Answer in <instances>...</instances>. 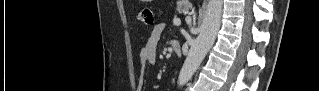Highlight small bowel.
<instances>
[{
  "label": "small bowel",
  "instance_id": "obj_1",
  "mask_svg": "<svg viewBox=\"0 0 319 91\" xmlns=\"http://www.w3.org/2000/svg\"><path fill=\"white\" fill-rule=\"evenodd\" d=\"M165 24L163 22L156 24L151 32L145 45L140 50V81L142 82L146 67L149 65H155L157 62V47L158 42L164 32Z\"/></svg>",
  "mask_w": 319,
  "mask_h": 91
}]
</instances>
